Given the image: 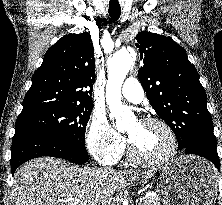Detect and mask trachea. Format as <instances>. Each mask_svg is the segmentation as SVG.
I'll return each instance as SVG.
<instances>
[{
  "mask_svg": "<svg viewBox=\"0 0 222 205\" xmlns=\"http://www.w3.org/2000/svg\"><path fill=\"white\" fill-rule=\"evenodd\" d=\"M108 13L113 21H117L121 15V8L119 6L109 7Z\"/></svg>",
  "mask_w": 222,
  "mask_h": 205,
  "instance_id": "trachea-1",
  "label": "trachea"
}]
</instances>
